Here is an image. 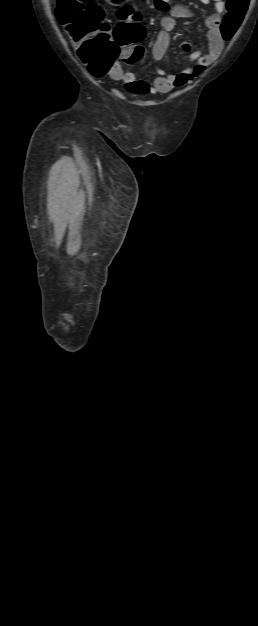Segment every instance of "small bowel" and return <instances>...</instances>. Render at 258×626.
<instances>
[{
  "mask_svg": "<svg viewBox=\"0 0 258 626\" xmlns=\"http://www.w3.org/2000/svg\"><path fill=\"white\" fill-rule=\"evenodd\" d=\"M200 1L202 3L213 2L216 11L206 20L209 48L205 54H202L199 50L191 52V46L188 42L182 44L183 50L189 53L190 59L195 63L194 67L187 68L178 73L160 70L158 77L153 81H147L140 79L139 75L135 72H124L120 64L114 62L108 70V75L113 80L122 82L128 92L138 95L169 93L175 88L182 87L199 76L204 69L211 65L222 53L224 39L221 36L220 24L226 10L224 0ZM152 6L161 12L169 13L161 20L162 30L158 32L153 46V57L154 60L158 62L164 58L168 50L170 44L169 33L175 27V18H190L192 13L188 8L182 5L171 7L169 0H153ZM121 14L122 12L118 16L120 19H122Z\"/></svg>",
  "mask_w": 258,
  "mask_h": 626,
  "instance_id": "obj_1",
  "label": "small bowel"
}]
</instances>
